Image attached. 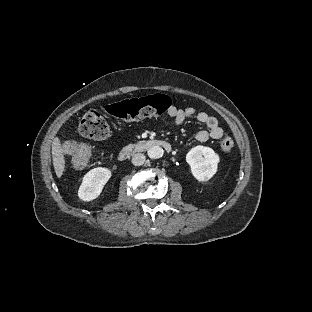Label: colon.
<instances>
[{
    "label": "colon",
    "mask_w": 312,
    "mask_h": 312,
    "mask_svg": "<svg viewBox=\"0 0 312 312\" xmlns=\"http://www.w3.org/2000/svg\"><path fill=\"white\" fill-rule=\"evenodd\" d=\"M170 106L171 102L168 96L148 95L139 99H128L111 104L107 107V113L118 122L132 123L145 118L158 117ZM77 130L86 138L104 139L110 133V125L101 111L93 109L85 112L80 118ZM234 145L232 137H225L221 142V149L228 152L233 149ZM63 149L80 167H84L91 156L89 147L73 140H67Z\"/></svg>",
    "instance_id": "obj_1"
}]
</instances>
